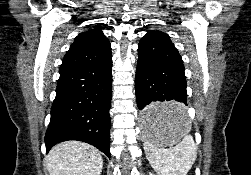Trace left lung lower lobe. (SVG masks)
Listing matches in <instances>:
<instances>
[{
  "label": "left lung lower lobe",
  "instance_id": "left-lung-lower-lobe-1",
  "mask_svg": "<svg viewBox=\"0 0 251 175\" xmlns=\"http://www.w3.org/2000/svg\"><path fill=\"white\" fill-rule=\"evenodd\" d=\"M187 83L183 61L174 44L160 33L148 32L139 42L135 77L139 120L160 125L187 115ZM177 101L181 104H161Z\"/></svg>",
  "mask_w": 251,
  "mask_h": 175
}]
</instances>
